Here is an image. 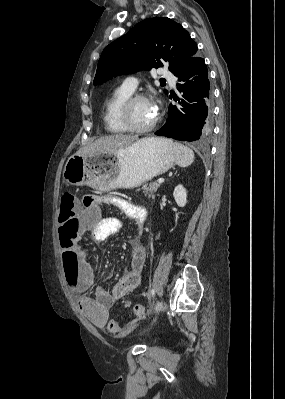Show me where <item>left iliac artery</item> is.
<instances>
[{
    "mask_svg": "<svg viewBox=\"0 0 285 399\" xmlns=\"http://www.w3.org/2000/svg\"><path fill=\"white\" fill-rule=\"evenodd\" d=\"M154 294H155V290L152 289V290H151V295L154 296Z\"/></svg>",
    "mask_w": 285,
    "mask_h": 399,
    "instance_id": "left-iliac-artery-1",
    "label": "left iliac artery"
}]
</instances>
